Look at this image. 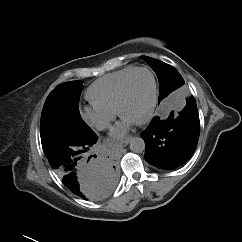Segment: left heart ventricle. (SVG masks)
<instances>
[{
  "label": "left heart ventricle",
  "instance_id": "1",
  "mask_svg": "<svg viewBox=\"0 0 242 242\" xmlns=\"http://www.w3.org/2000/svg\"><path fill=\"white\" fill-rule=\"evenodd\" d=\"M153 93L151 76L138 72L130 80L125 101L121 107L123 117L134 122L141 120L148 112Z\"/></svg>",
  "mask_w": 242,
  "mask_h": 242
}]
</instances>
